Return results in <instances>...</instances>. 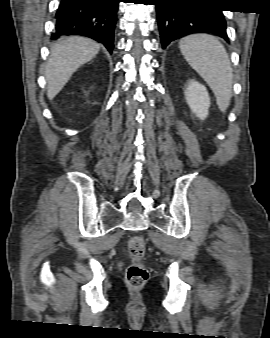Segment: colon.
<instances>
[{
  "instance_id": "obj_1",
  "label": "colon",
  "mask_w": 270,
  "mask_h": 338,
  "mask_svg": "<svg viewBox=\"0 0 270 338\" xmlns=\"http://www.w3.org/2000/svg\"><path fill=\"white\" fill-rule=\"evenodd\" d=\"M146 243L142 236H132L128 241L129 264L125 273L128 287L141 289L149 279V270L143 263Z\"/></svg>"
}]
</instances>
